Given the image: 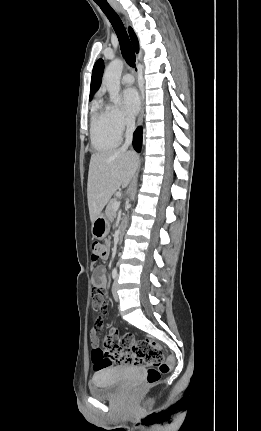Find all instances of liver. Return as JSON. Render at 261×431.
I'll return each mask as SVG.
<instances>
[{"instance_id": "obj_1", "label": "liver", "mask_w": 261, "mask_h": 431, "mask_svg": "<svg viewBox=\"0 0 261 431\" xmlns=\"http://www.w3.org/2000/svg\"><path fill=\"white\" fill-rule=\"evenodd\" d=\"M139 163L136 153L115 149L91 156L87 183L90 220L101 214L112 195L130 183Z\"/></svg>"}]
</instances>
